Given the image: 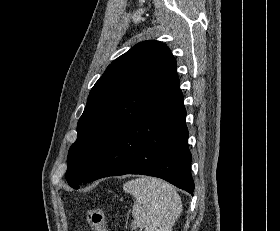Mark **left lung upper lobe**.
I'll return each mask as SVG.
<instances>
[{"label":"left lung upper lobe","mask_w":280,"mask_h":231,"mask_svg":"<svg viewBox=\"0 0 280 231\" xmlns=\"http://www.w3.org/2000/svg\"><path fill=\"white\" fill-rule=\"evenodd\" d=\"M179 86L176 60L159 41L138 43L114 60L95 83L77 124L65 178L75 189L112 141Z\"/></svg>","instance_id":"5c2ea615"}]
</instances>
